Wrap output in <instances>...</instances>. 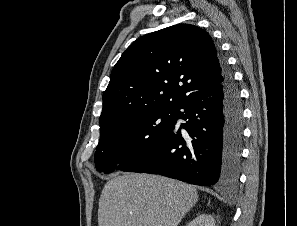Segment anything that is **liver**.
I'll use <instances>...</instances> for the list:
<instances>
[{
  "label": "liver",
  "mask_w": 297,
  "mask_h": 226,
  "mask_svg": "<svg viewBox=\"0 0 297 226\" xmlns=\"http://www.w3.org/2000/svg\"><path fill=\"white\" fill-rule=\"evenodd\" d=\"M191 185L159 175H115L99 199L98 226H177L198 201Z\"/></svg>",
  "instance_id": "obj_1"
}]
</instances>
